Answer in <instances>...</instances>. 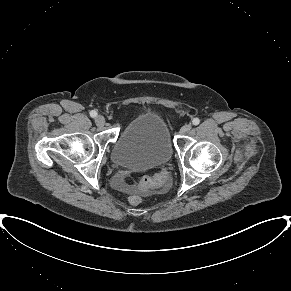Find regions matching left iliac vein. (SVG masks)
Instances as JSON below:
<instances>
[{"instance_id":"obj_1","label":"left iliac vein","mask_w":291,"mask_h":291,"mask_svg":"<svg viewBox=\"0 0 291 291\" xmlns=\"http://www.w3.org/2000/svg\"><path fill=\"white\" fill-rule=\"evenodd\" d=\"M191 128H192L191 124H185V125H183L181 127L180 133L181 134H186V133H188L191 130Z\"/></svg>"}]
</instances>
